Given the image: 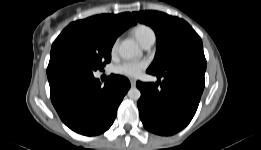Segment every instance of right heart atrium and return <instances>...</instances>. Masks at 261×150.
I'll return each mask as SVG.
<instances>
[{
  "mask_svg": "<svg viewBox=\"0 0 261 150\" xmlns=\"http://www.w3.org/2000/svg\"><path fill=\"white\" fill-rule=\"evenodd\" d=\"M116 50H117V42H114L112 47H111V53L115 54Z\"/></svg>",
  "mask_w": 261,
  "mask_h": 150,
  "instance_id": "1",
  "label": "right heart atrium"
}]
</instances>
